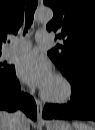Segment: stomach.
I'll use <instances>...</instances> for the list:
<instances>
[{
  "label": "stomach",
  "instance_id": "1",
  "mask_svg": "<svg viewBox=\"0 0 95 130\" xmlns=\"http://www.w3.org/2000/svg\"><path fill=\"white\" fill-rule=\"evenodd\" d=\"M47 130H73L71 125L63 120H52L47 123Z\"/></svg>",
  "mask_w": 95,
  "mask_h": 130
}]
</instances>
